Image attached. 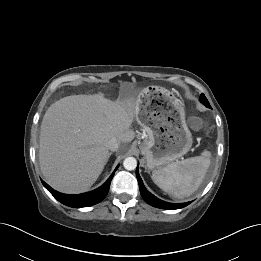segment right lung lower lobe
<instances>
[{
    "label": "right lung lower lobe",
    "instance_id": "right-lung-lower-lobe-1",
    "mask_svg": "<svg viewBox=\"0 0 261 261\" xmlns=\"http://www.w3.org/2000/svg\"><path fill=\"white\" fill-rule=\"evenodd\" d=\"M115 171L108 178V180L98 189L78 195L62 194L52 189L44 181H42V183L44 187L62 204L74 208L88 207L101 202L106 197Z\"/></svg>",
    "mask_w": 261,
    "mask_h": 261
}]
</instances>
